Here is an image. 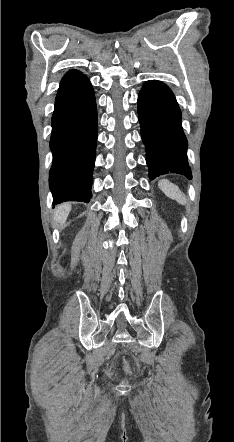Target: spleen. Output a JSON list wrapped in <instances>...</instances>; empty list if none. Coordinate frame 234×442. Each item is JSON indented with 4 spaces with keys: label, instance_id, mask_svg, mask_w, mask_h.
Masks as SVG:
<instances>
[{
    "label": "spleen",
    "instance_id": "spleen-1",
    "mask_svg": "<svg viewBox=\"0 0 234 442\" xmlns=\"http://www.w3.org/2000/svg\"><path fill=\"white\" fill-rule=\"evenodd\" d=\"M158 186L167 197L176 200L182 205L186 204V198L177 185L167 179H163L159 181Z\"/></svg>",
    "mask_w": 234,
    "mask_h": 442
}]
</instances>
